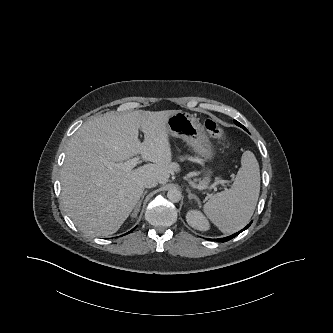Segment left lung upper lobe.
<instances>
[{"mask_svg": "<svg viewBox=\"0 0 333 333\" xmlns=\"http://www.w3.org/2000/svg\"><path fill=\"white\" fill-rule=\"evenodd\" d=\"M234 122H235L236 125H238V126L244 128V126H242V125H241L239 122H237L236 120H234ZM244 129H245V128H244Z\"/></svg>", "mask_w": 333, "mask_h": 333, "instance_id": "obj_1", "label": "left lung upper lobe"}]
</instances>
